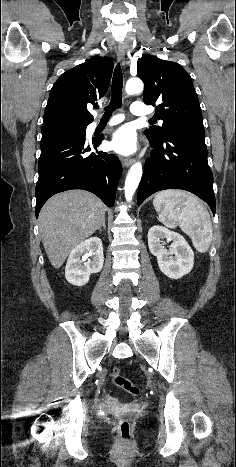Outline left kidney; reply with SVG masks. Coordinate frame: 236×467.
Here are the masks:
<instances>
[{
	"instance_id": "left-kidney-1",
	"label": "left kidney",
	"mask_w": 236,
	"mask_h": 467,
	"mask_svg": "<svg viewBox=\"0 0 236 467\" xmlns=\"http://www.w3.org/2000/svg\"><path fill=\"white\" fill-rule=\"evenodd\" d=\"M164 239L172 241L169 251L164 248ZM148 246L157 257L161 272L167 277L179 279L192 270L194 253L180 234L162 226H153L148 231Z\"/></svg>"
}]
</instances>
